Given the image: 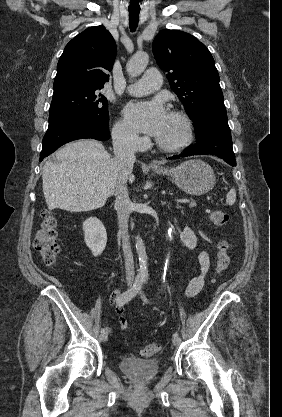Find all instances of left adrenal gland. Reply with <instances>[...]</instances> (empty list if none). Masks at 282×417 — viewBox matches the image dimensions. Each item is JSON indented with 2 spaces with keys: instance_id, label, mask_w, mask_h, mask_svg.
I'll return each instance as SVG.
<instances>
[{
  "instance_id": "a2214340",
  "label": "left adrenal gland",
  "mask_w": 282,
  "mask_h": 417,
  "mask_svg": "<svg viewBox=\"0 0 282 417\" xmlns=\"http://www.w3.org/2000/svg\"><path fill=\"white\" fill-rule=\"evenodd\" d=\"M162 204H166V200H161Z\"/></svg>"
}]
</instances>
